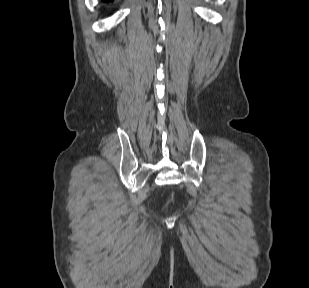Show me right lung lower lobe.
<instances>
[{
  "label": "right lung lower lobe",
  "mask_w": 309,
  "mask_h": 288,
  "mask_svg": "<svg viewBox=\"0 0 309 288\" xmlns=\"http://www.w3.org/2000/svg\"><path fill=\"white\" fill-rule=\"evenodd\" d=\"M103 2H110V1H112V0H102Z\"/></svg>",
  "instance_id": "98d812e1"
}]
</instances>
